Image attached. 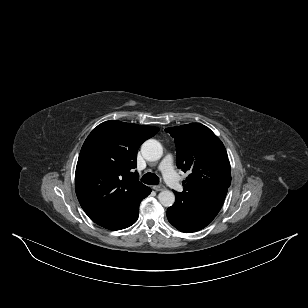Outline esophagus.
<instances>
[{
  "mask_svg": "<svg viewBox=\"0 0 308 308\" xmlns=\"http://www.w3.org/2000/svg\"><path fill=\"white\" fill-rule=\"evenodd\" d=\"M153 189H154L155 191H162V190L165 189V187L162 186V185H155V186H153Z\"/></svg>",
  "mask_w": 308,
  "mask_h": 308,
  "instance_id": "esophagus-1",
  "label": "esophagus"
}]
</instances>
